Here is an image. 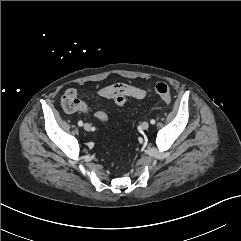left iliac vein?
I'll return each mask as SVG.
<instances>
[{"label": "left iliac vein", "instance_id": "obj_1", "mask_svg": "<svg viewBox=\"0 0 241 241\" xmlns=\"http://www.w3.org/2000/svg\"><path fill=\"white\" fill-rule=\"evenodd\" d=\"M141 127L142 129L147 130L149 128V123L145 121L141 124Z\"/></svg>", "mask_w": 241, "mask_h": 241}]
</instances>
